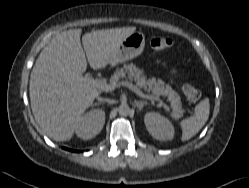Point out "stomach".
I'll list each match as a JSON object with an SVG mask.
<instances>
[{"instance_id": "1", "label": "stomach", "mask_w": 249, "mask_h": 188, "mask_svg": "<svg viewBox=\"0 0 249 188\" xmlns=\"http://www.w3.org/2000/svg\"><path fill=\"white\" fill-rule=\"evenodd\" d=\"M145 47V36L141 32H134L126 37L113 53L109 64L116 66L140 55Z\"/></svg>"}]
</instances>
